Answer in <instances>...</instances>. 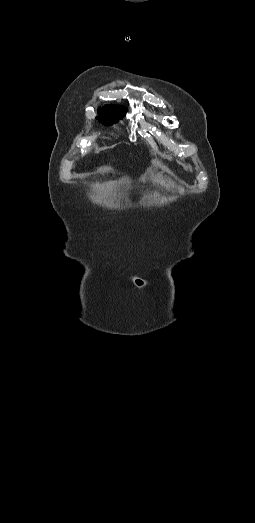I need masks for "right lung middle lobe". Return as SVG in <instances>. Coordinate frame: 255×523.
I'll return each instance as SVG.
<instances>
[{"label":"right lung middle lobe","mask_w":255,"mask_h":523,"mask_svg":"<svg viewBox=\"0 0 255 523\" xmlns=\"http://www.w3.org/2000/svg\"><path fill=\"white\" fill-rule=\"evenodd\" d=\"M99 116L97 119L106 125H110L112 123H115L120 119L122 116L125 115L124 109L117 106H104L102 108L98 109Z\"/></svg>","instance_id":"1"}]
</instances>
